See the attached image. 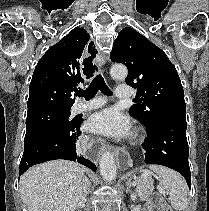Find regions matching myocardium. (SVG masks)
<instances>
[{"mask_svg":"<svg viewBox=\"0 0 209 211\" xmlns=\"http://www.w3.org/2000/svg\"><path fill=\"white\" fill-rule=\"evenodd\" d=\"M140 137H141V135H140V133H138V134L136 135V139L139 140Z\"/></svg>","mask_w":209,"mask_h":211,"instance_id":"f54148a6","label":"myocardium"}]
</instances>
